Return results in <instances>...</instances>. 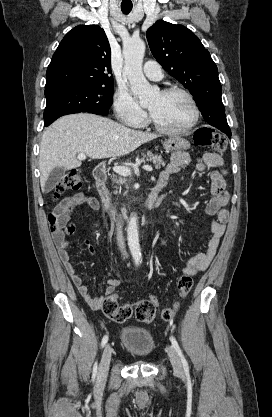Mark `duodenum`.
Segmentation results:
<instances>
[{"label":"duodenum","mask_w":272,"mask_h":417,"mask_svg":"<svg viewBox=\"0 0 272 417\" xmlns=\"http://www.w3.org/2000/svg\"><path fill=\"white\" fill-rule=\"evenodd\" d=\"M108 174V167L106 164H101L94 169L93 176L97 186V190L101 199V202L104 208L107 211L112 210V202H111V195L106 187V180ZM165 186L164 183L158 182L156 187L152 190V192L148 195V197L143 201L142 207L144 209H151L154 208L160 198L161 191Z\"/></svg>","instance_id":"duodenum-1"}]
</instances>
